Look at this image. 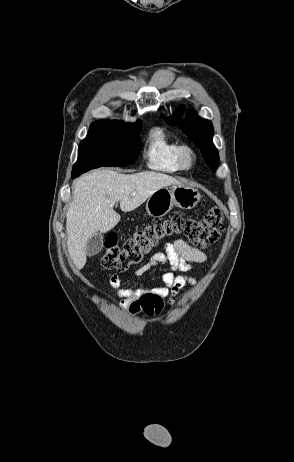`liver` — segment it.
<instances>
[{"instance_id": "liver-1", "label": "liver", "mask_w": 294, "mask_h": 462, "mask_svg": "<svg viewBox=\"0 0 294 462\" xmlns=\"http://www.w3.org/2000/svg\"><path fill=\"white\" fill-rule=\"evenodd\" d=\"M178 184L176 178L153 171L125 175L98 170L81 176L66 215L67 247L75 266L84 267L86 244L95 232L106 233L119 223L120 215L113 209L117 201L123 212H130L156 190Z\"/></svg>"}]
</instances>
